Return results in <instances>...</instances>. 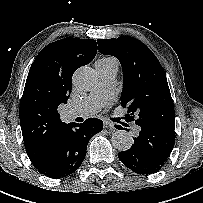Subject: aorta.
Instances as JSON below:
<instances>
[{"label": "aorta", "instance_id": "762f6f07", "mask_svg": "<svg viewBox=\"0 0 203 203\" xmlns=\"http://www.w3.org/2000/svg\"><path fill=\"white\" fill-rule=\"evenodd\" d=\"M97 74L94 69L83 66L77 69L73 75V85L79 91H90L97 84ZM112 145L119 151H126L133 145V138L129 132L118 130L112 135Z\"/></svg>", "mask_w": 203, "mask_h": 203}]
</instances>
